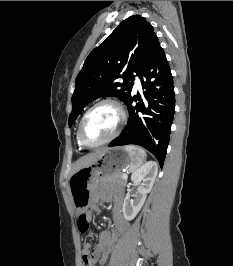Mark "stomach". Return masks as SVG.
Instances as JSON below:
<instances>
[{"mask_svg":"<svg viewBox=\"0 0 233 266\" xmlns=\"http://www.w3.org/2000/svg\"><path fill=\"white\" fill-rule=\"evenodd\" d=\"M132 163V156L125 147L107 148L94 163L73 173L69 179V190L77 214L86 211L91 195L106 175L121 172Z\"/></svg>","mask_w":233,"mask_h":266,"instance_id":"0dacf381","label":"stomach"}]
</instances>
